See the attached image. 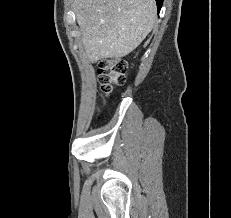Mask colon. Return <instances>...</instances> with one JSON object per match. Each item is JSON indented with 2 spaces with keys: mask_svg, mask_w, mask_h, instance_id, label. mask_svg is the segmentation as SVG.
Returning <instances> with one entry per match:
<instances>
[{
  "mask_svg": "<svg viewBox=\"0 0 231 218\" xmlns=\"http://www.w3.org/2000/svg\"><path fill=\"white\" fill-rule=\"evenodd\" d=\"M101 90L109 95L114 86L125 81L127 63L120 58H102L96 62Z\"/></svg>",
  "mask_w": 231,
  "mask_h": 218,
  "instance_id": "colon-1",
  "label": "colon"
}]
</instances>
